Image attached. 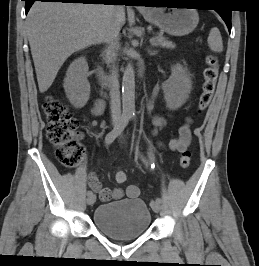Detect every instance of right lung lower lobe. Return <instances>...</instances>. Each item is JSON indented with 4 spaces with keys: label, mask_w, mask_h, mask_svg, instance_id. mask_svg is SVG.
<instances>
[{
    "label": "right lung lower lobe",
    "mask_w": 259,
    "mask_h": 266,
    "mask_svg": "<svg viewBox=\"0 0 259 266\" xmlns=\"http://www.w3.org/2000/svg\"><path fill=\"white\" fill-rule=\"evenodd\" d=\"M26 1L25 5V12L28 13L30 7L35 1H42V2H62V3H84V4H106L111 2H122L125 3L124 5H128V0H22Z\"/></svg>",
    "instance_id": "98d812e1"
}]
</instances>
